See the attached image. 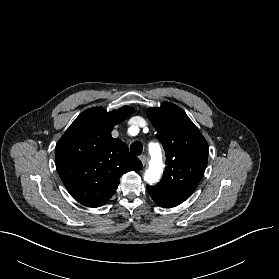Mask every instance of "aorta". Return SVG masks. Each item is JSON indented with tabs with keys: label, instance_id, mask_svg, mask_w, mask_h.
<instances>
[{
	"label": "aorta",
	"instance_id": "aorta-1",
	"mask_svg": "<svg viewBox=\"0 0 279 279\" xmlns=\"http://www.w3.org/2000/svg\"><path fill=\"white\" fill-rule=\"evenodd\" d=\"M163 168V163L160 155V151L156 150L152 153V161L149 166V169L146 171L144 179L148 183L157 182L160 178Z\"/></svg>",
	"mask_w": 279,
	"mask_h": 279
}]
</instances>
